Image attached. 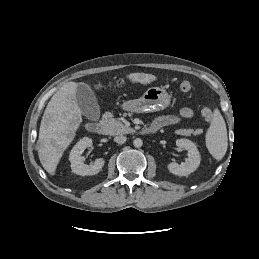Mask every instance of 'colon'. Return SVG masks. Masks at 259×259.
I'll use <instances>...</instances> for the list:
<instances>
[{"label": "colon", "mask_w": 259, "mask_h": 259, "mask_svg": "<svg viewBox=\"0 0 259 259\" xmlns=\"http://www.w3.org/2000/svg\"><path fill=\"white\" fill-rule=\"evenodd\" d=\"M178 87L182 92H188L191 89V82L187 78H182ZM201 115L206 122H210L213 117V112L211 109L205 107L201 110Z\"/></svg>", "instance_id": "1"}]
</instances>
